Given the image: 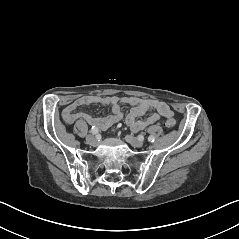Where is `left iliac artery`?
I'll return each instance as SVG.
<instances>
[{
	"mask_svg": "<svg viewBox=\"0 0 239 239\" xmlns=\"http://www.w3.org/2000/svg\"><path fill=\"white\" fill-rule=\"evenodd\" d=\"M154 140H155V137H154V136L150 135V136L148 137V141H149V142H154Z\"/></svg>",
	"mask_w": 239,
	"mask_h": 239,
	"instance_id": "1",
	"label": "left iliac artery"
}]
</instances>
